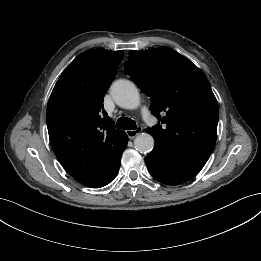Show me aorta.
<instances>
[{
	"label": "aorta",
	"instance_id": "762f6f07",
	"mask_svg": "<svg viewBox=\"0 0 261 261\" xmlns=\"http://www.w3.org/2000/svg\"><path fill=\"white\" fill-rule=\"evenodd\" d=\"M115 103L124 109H135L140 105V94L136 85L125 79L115 81L110 88ZM134 147L140 153H149L154 147V139L148 133H141L134 139Z\"/></svg>",
	"mask_w": 261,
	"mask_h": 261
}]
</instances>
